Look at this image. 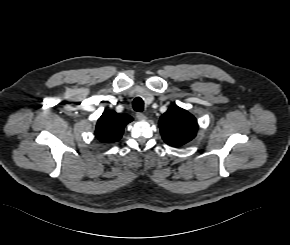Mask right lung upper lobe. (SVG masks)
Wrapping results in <instances>:
<instances>
[{
	"label": "right lung upper lobe",
	"mask_w": 290,
	"mask_h": 245,
	"mask_svg": "<svg viewBox=\"0 0 290 245\" xmlns=\"http://www.w3.org/2000/svg\"><path fill=\"white\" fill-rule=\"evenodd\" d=\"M132 120L129 115L105 111L97 121L95 136L103 143L116 142L122 137L124 127Z\"/></svg>",
	"instance_id": "right-lung-upper-lobe-1"
}]
</instances>
